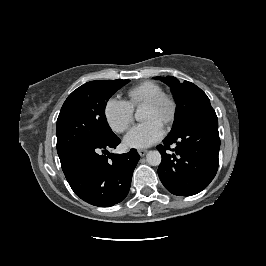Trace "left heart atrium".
<instances>
[{
    "instance_id": "39dd6f15",
    "label": "left heart atrium",
    "mask_w": 266,
    "mask_h": 266,
    "mask_svg": "<svg viewBox=\"0 0 266 266\" xmlns=\"http://www.w3.org/2000/svg\"><path fill=\"white\" fill-rule=\"evenodd\" d=\"M164 136L162 122L149 119L135 125L125 136L124 144L130 148H146Z\"/></svg>"
}]
</instances>
